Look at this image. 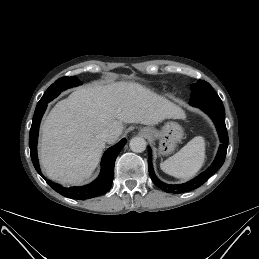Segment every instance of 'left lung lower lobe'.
I'll use <instances>...</instances> for the list:
<instances>
[{"label": "left lung lower lobe", "instance_id": "1", "mask_svg": "<svg viewBox=\"0 0 259 259\" xmlns=\"http://www.w3.org/2000/svg\"><path fill=\"white\" fill-rule=\"evenodd\" d=\"M192 106L200 108L210 116L216 126L222 144L219 147L215 160L206 171L194 179L179 185L165 184L155 176L151 162V149L149 148L148 168L150 177L156 186L168 193L179 194L192 191L200 187L223 165L225 161L228 147V134L225 125V109L222 102L198 104Z\"/></svg>", "mask_w": 259, "mask_h": 259}]
</instances>
